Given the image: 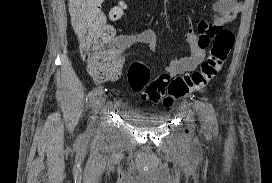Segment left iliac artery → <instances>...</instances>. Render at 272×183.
Returning a JSON list of instances; mask_svg holds the SVG:
<instances>
[{
  "label": "left iliac artery",
  "mask_w": 272,
  "mask_h": 183,
  "mask_svg": "<svg viewBox=\"0 0 272 183\" xmlns=\"http://www.w3.org/2000/svg\"><path fill=\"white\" fill-rule=\"evenodd\" d=\"M206 109H207L208 119L210 121L211 127L214 131H217V127H218L217 118H216V113L212 104L206 103Z\"/></svg>",
  "instance_id": "44dca946"
}]
</instances>
